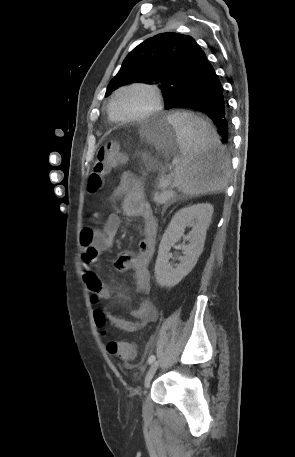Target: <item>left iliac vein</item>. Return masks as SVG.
I'll use <instances>...</instances> for the list:
<instances>
[{
  "mask_svg": "<svg viewBox=\"0 0 295 457\" xmlns=\"http://www.w3.org/2000/svg\"><path fill=\"white\" fill-rule=\"evenodd\" d=\"M158 366H159V361L158 360L154 361L151 364V366H150V368H149V370H148V372H147V374L145 376L144 386H145L146 389L149 387L150 382H151L154 374L156 373Z\"/></svg>",
  "mask_w": 295,
  "mask_h": 457,
  "instance_id": "obj_1",
  "label": "left iliac vein"
}]
</instances>
